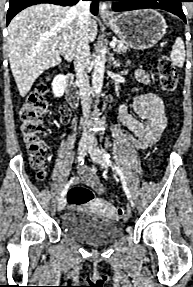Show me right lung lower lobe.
Segmentation results:
<instances>
[{"label": "right lung lower lobe", "mask_w": 193, "mask_h": 287, "mask_svg": "<svg viewBox=\"0 0 193 287\" xmlns=\"http://www.w3.org/2000/svg\"><path fill=\"white\" fill-rule=\"evenodd\" d=\"M78 1L79 0H10L9 9L7 12V25L17 13H19L21 10L31 5H36L40 3H51L61 6H68V5L71 6L76 4ZM90 1H92L91 12L92 14L97 15L99 0H90Z\"/></svg>", "instance_id": "98d812e1"}]
</instances>
